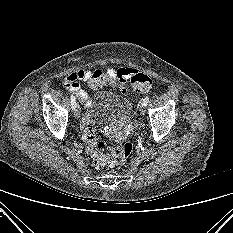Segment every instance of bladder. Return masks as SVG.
Here are the masks:
<instances>
[{
    "mask_svg": "<svg viewBox=\"0 0 233 233\" xmlns=\"http://www.w3.org/2000/svg\"><path fill=\"white\" fill-rule=\"evenodd\" d=\"M132 113V104L124 96L109 91L97 92L87 106V117L97 125L111 123Z\"/></svg>",
    "mask_w": 233,
    "mask_h": 233,
    "instance_id": "bladder-1",
    "label": "bladder"
}]
</instances>
